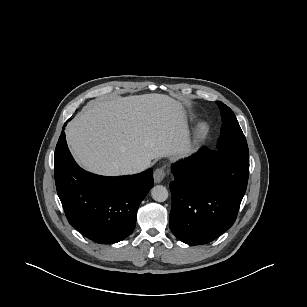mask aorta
<instances>
[{"instance_id": "762f6f07", "label": "aorta", "mask_w": 307, "mask_h": 307, "mask_svg": "<svg viewBox=\"0 0 307 307\" xmlns=\"http://www.w3.org/2000/svg\"><path fill=\"white\" fill-rule=\"evenodd\" d=\"M168 195V190L163 185H156L151 189V196L157 202L166 201Z\"/></svg>"}]
</instances>
